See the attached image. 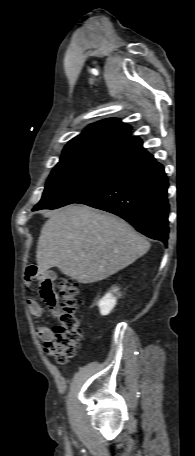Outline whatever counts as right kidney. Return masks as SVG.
I'll use <instances>...</instances> for the list:
<instances>
[{"label": "right kidney", "instance_id": "right-kidney-1", "mask_svg": "<svg viewBox=\"0 0 195 456\" xmlns=\"http://www.w3.org/2000/svg\"><path fill=\"white\" fill-rule=\"evenodd\" d=\"M117 291V288H113L98 301V306L102 315H108L116 305V297L113 293H116Z\"/></svg>", "mask_w": 195, "mask_h": 456}]
</instances>
